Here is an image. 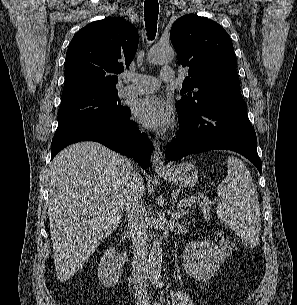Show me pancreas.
Segmentation results:
<instances>
[{
    "mask_svg": "<svg viewBox=\"0 0 297 305\" xmlns=\"http://www.w3.org/2000/svg\"><path fill=\"white\" fill-rule=\"evenodd\" d=\"M194 203H200V206L202 207V211L204 212L205 217H209V211L211 207L209 206L210 202L207 198H200V197H194L192 202L182 203L183 206H191Z\"/></svg>",
    "mask_w": 297,
    "mask_h": 305,
    "instance_id": "obj_1",
    "label": "pancreas"
}]
</instances>
